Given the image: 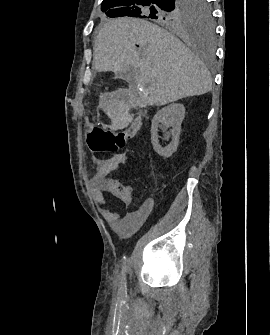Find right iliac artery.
<instances>
[{
	"label": "right iliac artery",
	"mask_w": 270,
	"mask_h": 335,
	"mask_svg": "<svg viewBox=\"0 0 270 335\" xmlns=\"http://www.w3.org/2000/svg\"><path fill=\"white\" fill-rule=\"evenodd\" d=\"M126 270H127V266H126V262H125L123 267H122V281H121V287H120V291L122 293H124L126 291V277H125Z\"/></svg>",
	"instance_id": "obj_1"
}]
</instances>
